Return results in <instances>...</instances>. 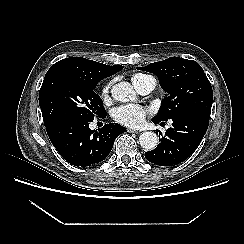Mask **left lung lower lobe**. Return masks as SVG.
I'll list each match as a JSON object with an SVG mask.
<instances>
[{
	"label": "left lung lower lobe",
	"instance_id": "left-lung-lower-lobe-1",
	"mask_svg": "<svg viewBox=\"0 0 244 244\" xmlns=\"http://www.w3.org/2000/svg\"><path fill=\"white\" fill-rule=\"evenodd\" d=\"M209 118L194 112L172 117V127L159 139L160 143L154 150L145 152V158L159 166H174L183 162L200 144L207 131ZM153 122L157 124L161 121L153 119Z\"/></svg>",
	"mask_w": 244,
	"mask_h": 244
}]
</instances>
